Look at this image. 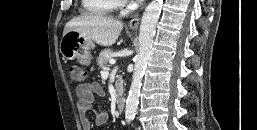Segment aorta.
I'll return each instance as SVG.
<instances>
[{"label": "aorta", "instance_id": "1", "mask_svg": "<svg viewBox=\"0 0 257 130\" xmlns=\"http://www.w3.org/2000/svg\"><path fill=\"white\" fill-rule=\"evenodd\" d=\"M162 5L163 0H152L142 16L139 33V51L135 56L132 83L126 100L125 119L128 123L134 119L137 111L142 78L150 56L156 24L161 13Z\"/></svg>", "mask_w": 257, "mask_h": 130}]
</instances>
